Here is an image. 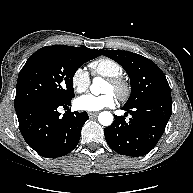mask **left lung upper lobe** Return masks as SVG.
Wrapping results in <instances>:
<instances>
[{"mask_svg":"<svg viewBox=\"0 0 193 193\" xmlns=\"http://www.w3.org/2000/svg\"><path fill=\"white\" fill-rule=\"evenodd\" d=\"M100 52L119 63L130 78L131 95L124 107L132 108L161 91L170 89L164 73L150 59L121 50H100Z\"/></svg>","mask_w":193,"mask_h":193,"instance_id":"5c2ea615","label":"left lung upper lobe"}]
</instances>
